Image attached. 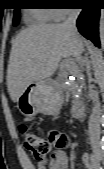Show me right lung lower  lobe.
<instances>
[{
	"instance_id": "obj_1",
	"label": "right lung lower lobe",
	"mask_w": 104,
	"mask_h": 169,
	"mask_svg": "<svg viewBox=\"0 0 104 169\" xmlns=\"http://www.w3.org/2000/svg\"><path fill=\"white\" fill-rule=\"evenodd\" d=\"M100 16V8L95 3H90L81 12L77 20V27L79 32L91 40L97 47H100L98 22Z\"/></svg>"
}]
</instances>
